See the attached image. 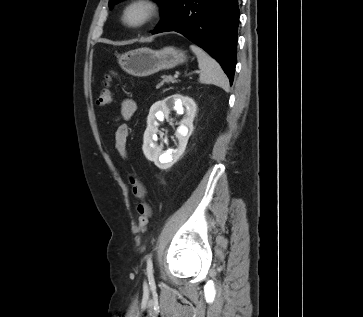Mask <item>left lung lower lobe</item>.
Returning a JSON list of instances; mask_svg holds the SVG:
<instances>
[{
  "label": "left lung lower lobe",
  "instance_id": "1",
  "mask_svg": "<svg viewBox=\"0 0 363 317\" xmlns=\"http://www.w3.org/2000/svg\"><path fill=\"white\" fill-rule=\"evenodd\" d=\"M239 14L238 0H170L152 33L183 34L220 63L232 84Z\"/></svg>",
  "mask_w": 363,
  "mask_h": 317
}]
</instances>
